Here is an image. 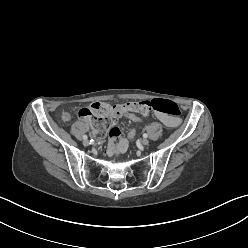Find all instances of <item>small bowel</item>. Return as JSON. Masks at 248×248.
Returning <instances> with one entry per match:
<instances>
[{
	"label": "small bowel",
	"mask_w": 248,
	"mask_h": 248,
	"mask_svg": "<svg viewBox=\"0 0 248 248\" xmlns=\"http://www.w3.org/2000/svg\"><path fill=\"white\" fill-rule=\"evenodd\" d=\"M117 106L119 107L120 112L118 115H115L112 117L113 118L124 117L123 112L127 109L124 108L123 104H120ZM128 111L133 112L131 110H128ZM134 115H136V114L134 113ZM155 115H156V118L160 122H162L164 125H166L168 127H176L180 124L179 118L172 117L168 114H165L162 112H156ZM126 119H128V118H126ZM106 136L110 140L108 148H107V155L108 156H118L120 154H123L127 150V147H128L127 138L122 136L121 131L118 127L113 126V127L109 128L106 132Z\"/></svg>",
	"instance_id": "1"
}]
</instances>
